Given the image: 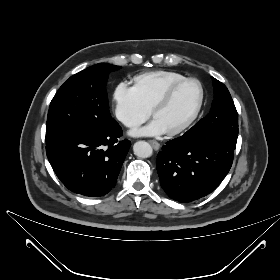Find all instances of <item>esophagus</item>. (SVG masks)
Returning a JSON list of instances; mask_svg holds the SVG:
<instances>
[{"instance_id":"obj_1","label":"esophagus","mask_w":280,"mask_h":280,"mask_svg":"<svg viewBox=\"0 0 280 280\" xmlns=\"http://www.w3.org/2000/svg\"><path fill=\"white\" fill-rule=\"evenodd\" d=\"M149 144L153 147L154 150H159L160 144L155 140H149Z\"/></svg>"}]
</instances>
